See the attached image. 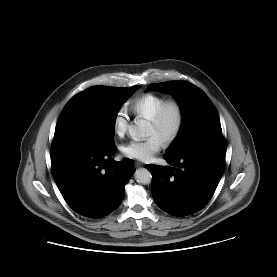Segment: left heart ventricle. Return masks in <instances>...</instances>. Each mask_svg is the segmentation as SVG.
<instances>
[{"label":"left heart ventricle","mask_w":277,"mask_h":277,"mask_svg":"<svg viewBox=\"0 0 277 277\" xmlns=\"http://www.w3.org/2000/svg\"><path fill=\"white\" fill-rule=\"evenodd\" d=\"M175 120H176L175 112L174 110H170L167 114L163 127L161 129H157L152 124H150L148 134L156 135L162 140L163 137L173 129L175 125Z\"/></svg>","instance_id":"b2bd125f"}]
</instances>
